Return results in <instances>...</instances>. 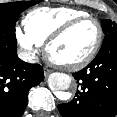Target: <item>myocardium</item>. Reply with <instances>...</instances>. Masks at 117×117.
I'll list each match as a JSON object with an SVG mask.
<instances>
[{
  "mask_svg": "<svg viewBox=\"0 0 117 117\" xmlns=\"http://www.w3.org/2000/svg\"><path fill=\"white\" fill-rule=\"evenodd\" d=\"M85 21H92L95 23L97 27V39L94 44L93 49L91 52L83 59L72 62V63H62L54 60L50 55V49L57 41L61 40L63 37H65L74 27L79 25L82 22ZM104 32L103 27L98 19L92 16H82L75 19L70 20L69 22L65 23L62 27H60L58 30H56L54 33L50 35V37L45 42V54L47 57V60L50 64L53 66L65 70V71H76L80 70L87 65H89L97 56L103 42Z\"/></svg>",
  "mask_w": 117,
  "mask_h": 117,
  "instance_id": "myocardium-1",
  "label": "myocardium"
}]
</instances>
